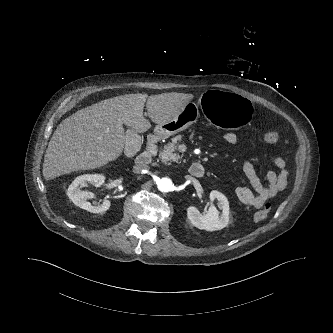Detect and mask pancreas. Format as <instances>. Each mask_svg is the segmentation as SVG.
<instances>
[{
  "label": "pancreas",
  "instance_id": "pancreas-1",
  "mask_svg": "<svg viewBox=\"0 0 333 333\" xmlns=\"http://www.w3.org/2000/svg\"><path fill=\"white\" fill-rule=\"evenodd\" d=\"M177 141H179L178 138L172 139V141L167 143L159 152V158L164 164H170L171 162L179 161L180 156L175 152L177 149Z\"/></svg>",
  "mask_w": 333,
  "mask_h": 333
}]
</instances>
